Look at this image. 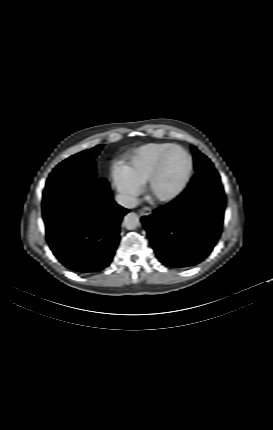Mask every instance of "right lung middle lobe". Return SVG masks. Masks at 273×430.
<instances>
[{
	"label": "right lung middle lobe",
	"mask_w": 273,
	"mask_h": 430,
	"mask_svg": "<svg viewBox=\"0 0 273 430\" xmlns=\"http://www.w3.org/2000/svg\"><path fill=\"white\" fill-rule=\"evenodd\" d=\"M103 145L77 153L60 163L50 174L43 200L51 198L60 192L82 186L98 180L94 167V158L99 154Z\"/></svg>",
	"instance_id": "dd1d6c3e"
}]
</instances>
